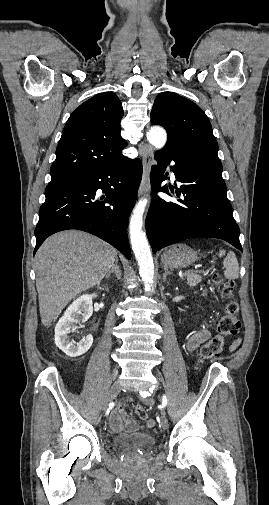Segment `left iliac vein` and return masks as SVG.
Returning a JSON list of instances; mask_svg holds the SVG:
<instances>
[{"label": "left iliac vein", "mask_w": 269, "mask_h": 505, "mask_svg": "<svg viewBox=\"0 0 269 505\" xmlns=\"http://www.w3.org/2000/svg\"><path fill=\"white\" fill-rule=\"evenodd\" d=\"M145 401L146 402H145L144 405H145L146 408L150 409V408L153 407L154 404H153V399L152 398H147V399H145ZM159 422H160V426H161V428L163 430H166L168 428V419H167V417H166V415H165L164 412H161L160 421Z\"/></svg>", "instance_id": "left-iliac-vein-1"}]
</instances>
